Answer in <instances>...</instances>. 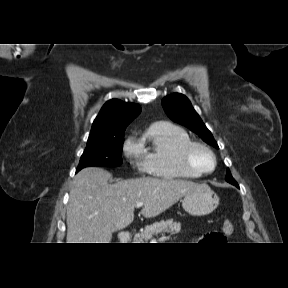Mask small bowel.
<instances>
[{
	"mask_svg": "<svg viewBox=\"0 0 288 288\" xmlns=\"http://www.w3.org/2000/svg\"><path fill=\"white\" fill-rule=\"evenodd\" d=\"M212 234V233H211ZM211 234H208L207 236L203 237V238H200L199 239V242H202V243H208V242H211L212 239L210 238V235Z\"/></svg>",
	"mask_w": 288,
	"mask_h": 288,
	"instance_id": "1",
	"label": "small bowel"
}]
</instances>
